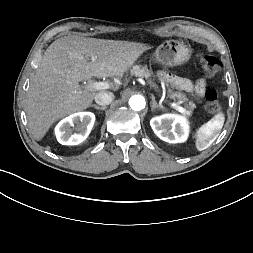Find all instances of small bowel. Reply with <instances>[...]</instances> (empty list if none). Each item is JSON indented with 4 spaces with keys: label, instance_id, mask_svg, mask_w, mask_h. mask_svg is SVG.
<instances>
[{
    "label": "small bowel",
    "instance_id": "c3829d8e",
    "mask_svg": "<svg viewBox=\"0 0 253 253\" xmlns=\"http://www.w3.org/2000/svg\"><path fill=\"white\" fill-rule=\"evenodd\" d=\"M177 85L185 90L194 91L197 95L203 94L205 91L206 82L204 79H199L195 84L185 79L176 81Z\"/></svg>",
    "mask_w": 253,
    "mask_h": 253
}]
</instances>
